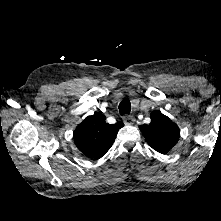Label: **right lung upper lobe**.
Instances as JSON below:
<instances>
[{
	"label": "right lung upper lobe",
	"mask_w": 221,
	"mask_h": 221,
	"mask_svg": "<svg viewBox=\"0 0 221 221\" xmlns=\"http://www.w3.org/2000/svg\"><path fill=\"white\" fill-rule=\"evenodd\" d=\"M105 116L95 113L86 117L74 131V141L77 148L88 157L99 159L112 146L122 122L110 125L105 122Z\"/></svg>",
	"instance_id": "1"
}]
</instances>
